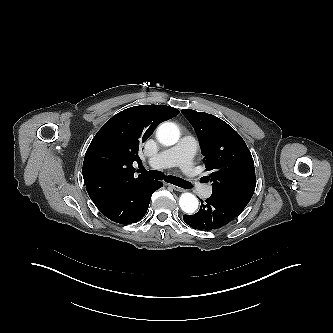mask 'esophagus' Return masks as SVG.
Returning <instances> with one entry per match:
<instances>
[{"label":"esophagus","mask_w":333,"mask_h":333,"mask_svg":"<svg viewBox=\"0 0 333 333\" xmlns=\"http://www.w3.org/2000/svg\"><path fill=\"white\" fill-rule=\"evenodd\" d=\"M168 186L171 187L172 189H174L175 191H178V192H183L184 191L183 188L175 186L173 184H168Z\"/></svg>","instance_id":"esophagus-1"}]
</instances>
